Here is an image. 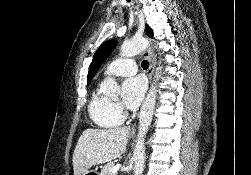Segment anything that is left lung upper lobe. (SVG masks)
Returning <instances> with one entry per match:
<instances>
[{
	"label": "left lung upper lobe",
	"instance_id": "5c2ea615",
	"mask_svg": "<svg viewBox=\"0 0 251 175\" xmlns=\"http://www.w3.org/2000/svg\"><path fill=\"white\" fill-rule=\"evenodd\" d=\"M146 33L149 37H153V33L151 28L146 25ZM117 45V41L116 40H110L107 41L105 43H103L98 50L96 51V53L94 54L93 60L89 66V72H88V82L87 84H89L92 80V78L94 77L95 73L97 72V70L99 69V67L101 66V64L107 59V57L111 54V52L115 49V46Z\"/></svg>",
	"mask_w": 251,
	"mask_h": 175
}]
</instances>
